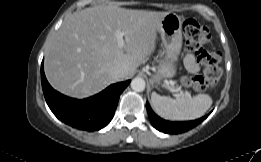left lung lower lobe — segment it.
Masks as SVG:
<instances>
[{"instance_id": "1", "label": "left lung lower lobe", "mask_w": 261, "mask_h": 162, "mask_svg": "<svg viewBox=\"0 0 261 162\" xmlns=\"http://www.w3.org/2000/svg\"><path fill=\"white\" fill-rule=\"evenodd\" d=\"M147 112L149 115L150 122L154 128L159 130L160 132H164L167 134H179L186 132L194 127H196L198 124H200L204 119L207 118V116H204L202 118H199L197 120L193 121H184V122H170L167 120H164L157 116L153 110L151 109L149 103H146Z\"/></svg>"}]
</instances>
